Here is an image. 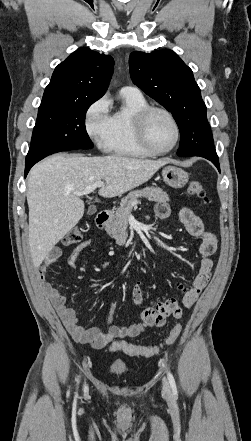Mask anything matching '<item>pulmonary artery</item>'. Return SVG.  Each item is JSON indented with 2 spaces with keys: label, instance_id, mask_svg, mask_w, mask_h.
Masks as SVG:
<instances>
[{
  "label": "pulmonary artery",
  "instance_id": "1",
  "mask_svg": "<svg viewBox=\"0 0 251 441\" xmlns=\"http://www.w3.org/2000/svg\"><path fill=\"white\" fill-rule=\"evenodd\" d=\"M121 91H134L140 92L139 89L135 86H124Z\"/></svg>",
  "mask_w": 251,
  "mask_h": 441
}]
</instances>
